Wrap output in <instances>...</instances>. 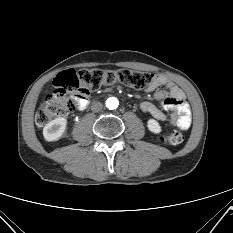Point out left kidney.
<instances>
[{
    "label": "left kidney",
    "instance_id": "1",
    "mask_svg": "<svg viewBox=\"0 0 233 233\" xmlns=\"http://www.w3.org/2000/svg\"><path fill=\"white\" fill-rule=\"evenodd\" d=\"M147 127L151 132L155 134H158L161 132V126L155 119H149L147 122Z\"/></svg>",
    "mask_w": 233,
    "mask_h": 233
}]
</instances>
